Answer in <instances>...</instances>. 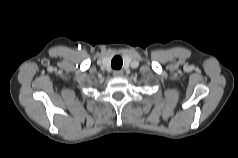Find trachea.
Returning <instances> with one entry per match:
<instances>
[{"mask_svg":"<svg viewBox=\"0 0 238 158\" xmlns=\"http://www.w3.org/2000/svg\"><path fill=\"white\" fill-rule=\"evenodd\" d=\"M123 61L120 56H115L111 61V66L113 69H120L122 67Z\"/></svg>","mask_w":238,"mask_h":158,"instance_id":"trachea-1","label":"trachea"}]
</instances>
